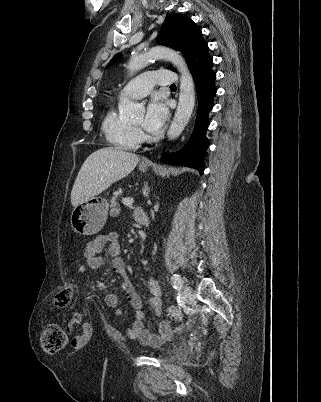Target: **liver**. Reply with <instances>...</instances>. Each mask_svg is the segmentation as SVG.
I'll return each mask as SVG.
<instances>
[{
  "label": "liver",
  "instance_id": "liver-1",
  "mask_svg": "<svg viewBox=\"0 0 321 402\" xmlns=\"http://www.w3.org/2000/svg\"><path fill=\"white\" fill-rule=\"evenodd\" d=\"M140 158L118 147L101 148L87 157L74 182L71 203L76 207L126 177Z\"/></svg>",
  "mask_w": 321,
  "mask_h": 402
}]
</instances>
